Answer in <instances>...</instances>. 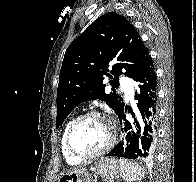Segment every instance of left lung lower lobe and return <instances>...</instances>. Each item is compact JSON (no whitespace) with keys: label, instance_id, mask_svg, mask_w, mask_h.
<instances>
[{"label":"left lung lower lobe","instance_id":"0a47b994","mask_svg":"<svg viewBox=\"0 0 196 182\" xmlns=\"http://www.w3.org/2000/svg\"><path fill=\"white\" fill-rule=\"evenodd\" d=\"M133 80L137 82V116L129 109L134 118V122L129 123L122 106L118 118L124 137L107 156L151 159L155 155L158 120V86L152 58Z\"/></svg>","mask_w":196,"mask_h":182}]
</instances>
